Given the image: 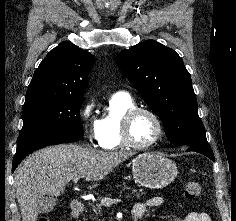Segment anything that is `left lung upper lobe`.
<instances>
[{
	"label": "left lung upper lobe",
	"mask_w": 236,
	"mask_h": 221,
	"mask_svg": "<svg viewBox=\"0 0 236 221\" xmlns=\"http://www.w3.org/2000/svg\"><path fill=\"white\" fill-rule=\"evenodd\" d=\"M116 62L162 120L165 134L174 145L208 143L190 74L177 52L147 40L120 53Z\"/></svg>",
	"instance_id": "left-lung-upper-lobe-1"
}]
</instances>
